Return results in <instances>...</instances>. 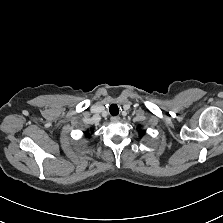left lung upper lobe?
I'll return each instance as SVG.
<instances>
[{"instance_id":"left-lung-upper-lobe-1","label":"left lung upper lobe","mask_w":223,"mask_h":223,"mask_svg":"<svg viewBox=\"0 0 223 223\" xmlns=\"http://www.w3.org/2000/svg\"><path fill=\"white\" fill-rule=\"evenodd\" d=\"M139 133H140V136H143L144 135V131H139Z\"/></svg>"}]
</instances>
